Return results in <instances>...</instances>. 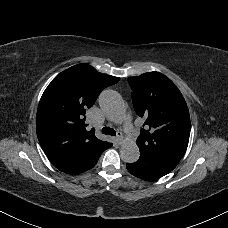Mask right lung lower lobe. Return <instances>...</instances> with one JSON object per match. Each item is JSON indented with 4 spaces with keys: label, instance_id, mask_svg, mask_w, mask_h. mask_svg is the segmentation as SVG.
Masks as SVG:
<instances>
[{
    "label": "right lung lower lobe",
    "instance_id": "obj_1",
    "mask_svg": "<svg viewBox=\"0 0 228 228\" xmlns=\"http://www.w3.org/2000/svg\"><path fill=\"white\" fill-rule=\"evenodd\" d=\"M111 146H112V144L108 148H110ZM108 148H106V149H108ZM106 149H104V150H106ZM104 150H99V151L90 153L61 171L68 173V174H78V173L84 172L96 165L101 153Z\"/></svg>",
    "mask_w": 228,
    "mask_h": 228
}]
</instances>
